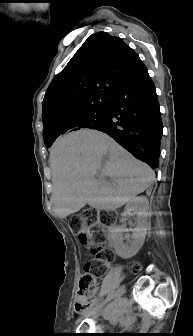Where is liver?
<instances>
[{"label": "liver", "mask_w": 193, "mask_h": 336, "mask_svg": "<svg viewBox=\"0 0 193 336\" xmlns=\"http://www.w3.org/2000/svg\"><path fill=\"white\" fill-rule=\"evenodd\" d=\"M49 162L54 210L61 219L86 204L115 210L155 180L147 164L96 130H80L58 140L50 151Z\"/></svg>", "instance_id": "obj_1"}]
</instances>
